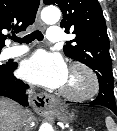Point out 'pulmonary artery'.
I'll return each instance as SVG.
<instances>
[{"label":"pulmonary artery","instance_id":"e3ab8cb5","mask_svg":"<svg viewBox=\"0 0 117 131\" xmlns=\"http://www.w3.org/2000/svg\"><path fill=\"white\" fill-rule=\"evenodd\" d=\"M61 28L58 26H51L47 32V39L50 42H59L61 40ZM27 51L26 47H13L8 50L9 57H16L24 54Z\"/></svg>","mask_w":117,"mask_h":131}]
</instances>
